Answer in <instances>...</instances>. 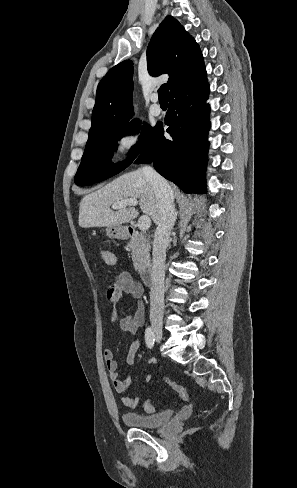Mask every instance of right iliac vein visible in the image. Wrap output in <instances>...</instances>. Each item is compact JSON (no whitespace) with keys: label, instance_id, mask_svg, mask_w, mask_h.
I'll use <instances>...</instances> for the list:
<instances>
[{"label":"right iliac vein","instance_id":"right-iliac-vein-1","mask_svg":"<svg viewBox=\"0 0 297 488\" xmlns=\"http://www.w3.org/2000/svg\"><path fill=\"white\" fill-rule=\"evenodd\" d=\"M152 330L154 332L155 338L158 342L161 341L163 331H162V322L158 319H153L151 322Z\"/></svg>","mask_w":297,"mask_h":488}]
</instances>
